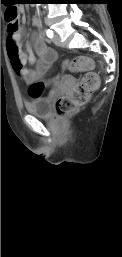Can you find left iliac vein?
<instances>
[{"label":"left iliac vein","instance_id":"4c4485c4","mask_svg":"<svg viewBox=\"0 0 122 257\" xmlns=\"http://www.w3.org/2000/svg\"><path fill=\"white\" fill-rule=\"evenodd\" d=\"M52 41L57 46H60V47L63 46V43H62V41L60 39V36L58 34H54V36L52 37Z\"/></svg>","mask_w":122,"mask_h":257}]
</instances>
